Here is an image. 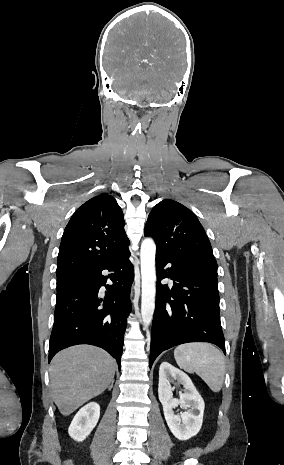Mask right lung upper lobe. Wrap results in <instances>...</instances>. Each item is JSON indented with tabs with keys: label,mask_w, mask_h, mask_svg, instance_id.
Returning <instances> with one entry per match:
<instances>
[{
	"label": "right lung upper lobe",
	"mask_w": 284,
	"mask_h": 465,
	"mask_svg": "<svg viewBox=\"0 0 284 465\" xmlns=\"http://www.w3.org/2000/svg\"><path fill=\"white\" fill-rule=\"evenodd\" d=\"M124 216L109 194L85 202L69 220L57 259V281L103 264L129 245Z\"/></svg>",
	"instance_id": "1"
}]
</instances>
